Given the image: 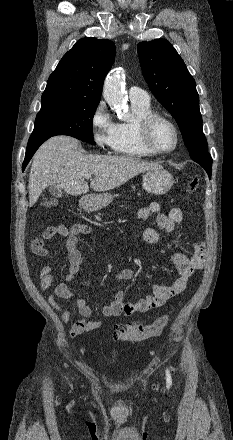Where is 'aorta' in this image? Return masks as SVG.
<instances>
[{
    "label": "aorta",
    "instance_id": "762f6f07",
    "mask_svg": "<svg viewBox=\"0 0 233 440\" xmlns=\"http://www.w3.org/2000/svg\"><path fill=\"white\" fill-rule=\"evenodd\" d=\"M123 78L120 71L108 74L103 87V97L110 107H113L121 119L129 118L125 108V94L123 90Z\"/></svg>",
    "mask_w": 233,
    "mask_h": 440
}]
</instances>
